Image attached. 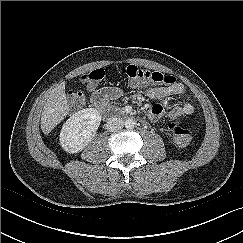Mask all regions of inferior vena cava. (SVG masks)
Segmentation results:
<instances>
[{"label": "inferior vena cava", "mask_w": 243, "mask_h": 243, "mask_svg": "<svg viewBox=\"0 0 243 243\" xmlns=\"http://www.w3.org/2000/svg\"><path fill=\"white\" fill-rule=\"evenodd\" d=\"M124 122L117 117H111L108 119L107 124H106V129L109 130L110 132H116L123 128Z\"/></svg>", "instance_id": "obj_1"}]
</instances>
